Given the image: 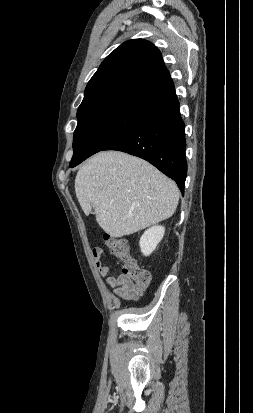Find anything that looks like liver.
Returning a JSON list of instances; mask_svg holds the SVG:
<instances>
[{
    "mask_svg": "<svg viewBox=\"0 0 253 413\" xmlns=\"http://www.w3.org/2000/svg\"><path fill=\"white\" fill-rule=\"evenodd\" d=\"M85 215L112 237L136 233L171 217L179 201L175 182L145 160L119 151L89 158L75 178Z\"/></svg>",
    "mask_w": 253,
    "mask_h": 413,
    "instance_id": "6515ba94",
    "label": "liver"
}]
</instances>
